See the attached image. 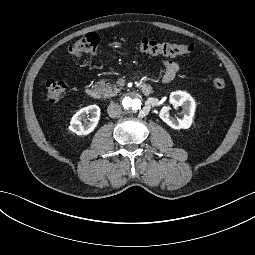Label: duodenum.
Returning a JSON list of instances; mask_svg holds the SVG:
<instances>
[{"mask_svg": "<svg viewBox=\"0 0 255 255\" xmlns=\"http://www.w3.org/2000/svg\"><path fill=\"white\" fill-rule=\"evenodd\" d=\"M141 91L144 95H149L152 92V88L148 84H142ZM85 93L91 99L97 100L100 98L99 90L94 87H87Z\"/></svg>", "mask_w": 255, "mask_h": 255, "instance_id": "410a0bca", "label": "duodenum"}]
</instances>
